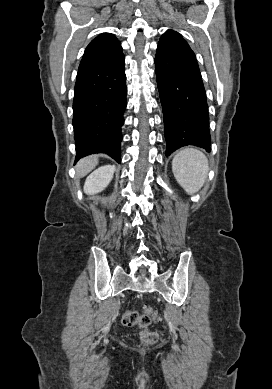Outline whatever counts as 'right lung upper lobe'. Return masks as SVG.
Returning <instances> with one entry per match:
<instances>
[{"label": "right lung upper lobe", "instance_id": "right-lung-upper-lobe-1", "mask_svg": "<svg viewBox=\"0 0 272 389\" xmlns=\"http://www.w3.org/2000/svg\"><path fill=\"white\" fill-rule=\"evenodd\" d=\"M122 54L121 43L113 34H100L85 49L78 72L110 62Z\"/></svg>", "mask_w": 272, "mask_h": 389}]
</instances>
